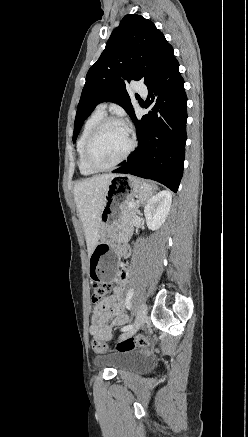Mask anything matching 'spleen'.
Segmentation results:
<instances>
[{
  "label": "spleen",
  "instance_id": "1",
  "mask_svg": "<svg viewBox=\"0 0 248 437\" xmlns=\"http://www.w3.org/2000/svg\"><path fill=\"white\" fill-rule=\"evenodd\" d=\"M143 194L140 198L141 202L143 203L144 201L148 200L150 198V196L152 195V187L147 184L146 182H143Z\"/></svg>",
  "mask_w": 248,
  "mask_h": 437
}]
</instances>
